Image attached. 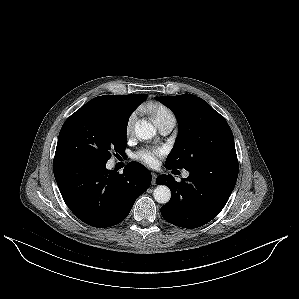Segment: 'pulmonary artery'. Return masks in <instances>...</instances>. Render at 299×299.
Instances as JSON below:
<instances>
[{
    "label": "pulmonary artery",
    "instance_id": "pulmonary-artery-1",
    "mask_svg": "<svg viewBox=\"0 0 299 299\" xmlns=\"http://www.w3.org/2000/svg\"><path fill=\"white\" fill-rule=\"evenodd\" d=\"M175 122H176L175 118H170V119L160 122L158 124V129H159L160 133L163 135L169 134L173 130V128L175 126ZM188 176H189L188 172L183 173L184 178H186Z\"/></svg>",
    "mask_w": 299,
    "mask_h": 299
}]
</instances>
